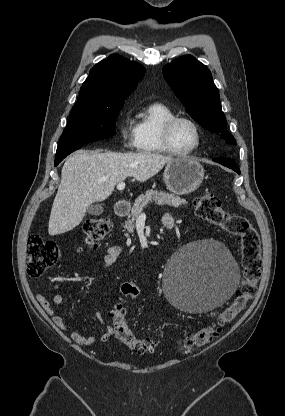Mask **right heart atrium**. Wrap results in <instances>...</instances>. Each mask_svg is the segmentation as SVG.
<instances>
[{
    "label": "right heart atrium",
    "instance_id": "obj_1",
    "mask_svg": "<svg viewBox=\"0 0 285 416\" xmlns=\"http://www.w3.org/2000/svg\"><path fill=\"white\" fill-rule=\"evenodd\" d=\"M121 138L127 149L133 150L138 148V136L136 123L131 113L124 115L123 127L121 129Z\"/></svg>",
    "mask_w": 285,
    "mask_h": 416
}]
</instances>
